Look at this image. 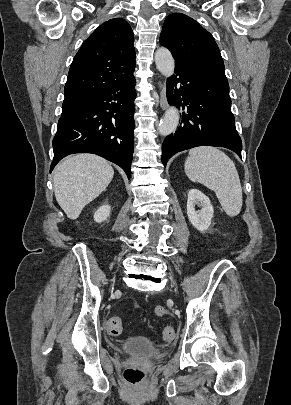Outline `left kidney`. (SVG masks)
<instances>
[{
    "label": "left kidney",
    "instance_id": "left-kidney-1",
    "mask_svg": "<svg viewBox=\"0 0 291 405\" xmlns=\"http://www.w3.org/2000/svg\"><path fill=\"white\" fill-rule=\"evenodd\" d=\"M195 205L201 207L195 210ZM214 209L209 198L198 189H191L188 193L187 216L191 224L199 231H206L213 217Z\"/></svg>",
    "mask_w": 291,
    "mask_h": 405
}]
</instances>
